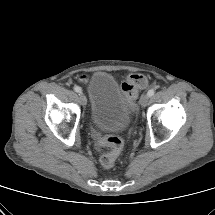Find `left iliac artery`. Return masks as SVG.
<instances>
[{
  "label": "left iliac artery",
  "instance_id": "44dca946",
  "mask_svg": "<svg viewBox=\"0 0 215 215\" xmlns=\"http://www.w3.org/2000/svg\"><path fill=\"white\" fill-rule=\"evenodd\" d=\"M154 93H155L154 89H150L147 94L149 97H152Z\"/></svg>",
  "mask_w": 215,
  "mask_h": 215
}]
</instances>
